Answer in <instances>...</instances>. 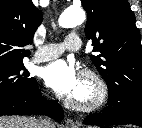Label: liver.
Wrapping results in <instances>:
<instances>
[{"mask_svg":"<svg viewBox=\"0 0 142 128\" xmlns=\"http://www.w3.org/2000/svg\"><path fill=\"white\" fill-rule=\"evenodd\" d=\"M36 126L37 119L35 117L0 116V128H36Z\"/></svg>","mask_w":142,"mask_h":128,"instance_id":"1","label":"liver"}]
</instances>
